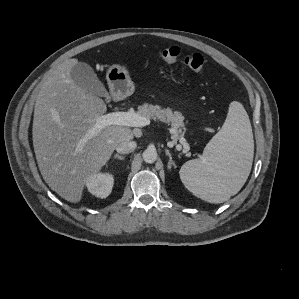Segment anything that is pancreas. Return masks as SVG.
<instances>
[{
  "label": "pancreas",
  "mask_w": 299,
  "mask_h": 299,
  "mask_svg": "<svg viewBox=\"0 0 299 299\" xmlns=\"http://www.w3.org/2000/svg\"><path fill=\"white\" fill-rule=\"evenodd\" d=\"M137 114L148 120H159L170 124L173 130V140L179 139L186 131L184 116L180 112L172 111L170 108L165 109L159 105L144 103L138 107Z\"/></svg>",
  "instance_id": "obj_1"
}]
</instances>
